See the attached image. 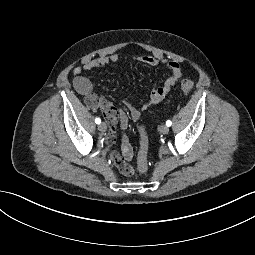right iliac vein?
<instances>
[{"instance_id":"1","label":"right iliac vein","mask_w":255,"mask_h":255,"mask_svg":"<svg viewBox=\"0 0 255 255\" xmlns=\"http://www.w3.org/2000/svg\"><path fill=\"white\" fill-rule=\"evenodd\" d=\"M98 129H99V131H101V132H105V131L107 130V125H106V123H104V122L100 123V124L98 125Z\"/></svg>"}]
</instances>
